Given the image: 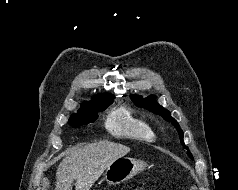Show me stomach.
<instances>
[{"mask_svg":"<svg viewBox=\"0 0 238 190\" xmlns=\"http://www.w3.org/2000/svg\"><path fill=\"white\" fill-rule=\"evenodd\" d=\"M146 164L130 157L115 160L105 172V180L111 185L121 184L144 170Z\"/></svg>","mask_w":238,"mask_h":190,"instance_id":"stomach-1","label":"stomach"}]
</instances>
